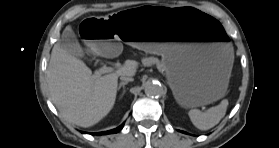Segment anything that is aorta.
<instances>
[{
  "instance_id": "obj_1",
  "label": "aorta",
  "mask_w": 279,
  "mask_h": 148,
  "mask_svg": "<svg viewBox=\"0 0 279 148\" xmlns=\"http://www.w3.org/2000/svg\"><path fill=\"white\" fill-rule=\"evenodd\" d=\"M144 90L148 97L158 98L164 94L163 86L153 81L147 82Z\"/></svg>"
}]
</instances>
